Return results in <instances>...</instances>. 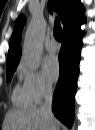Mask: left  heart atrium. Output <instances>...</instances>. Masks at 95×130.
<instances>
[{"mask_svg":"<svg viewBox=\"0 0 95 130\" xmlns=\"http://www.w3.org/2000/svg\"><path fill=\"white\" fill-rule=\"evenodd\" d=\"M44 71L47 78L55 82L60 74V63L56 56L49 55L44 60Z\"/></svg>","mask_w":95,"mask_h":130,"instance_id":"obj_1","label":"left heart atrium"}]
</instances>
